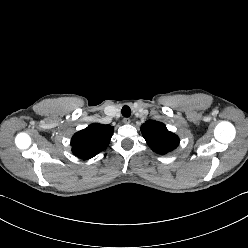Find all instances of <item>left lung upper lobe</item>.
<instances>
[{"label":"left lung upper lobe","mask_w":248,"mask_h":248,"mask_svg":"<svg viewBox=\"0 0 248 248\" xmlns=\"http://www.w3.org/2000/svg\"><path fill=\"white\" fill-rule=\"evenodd\" d=\"M141 132L150 148L158 154L174 150L180 141L177 135L167 130L165 124L153 120L146 121L141 126Z\"/></svg>","instance_id":"left-lung-upper-lobe-1"}]
</instances>
